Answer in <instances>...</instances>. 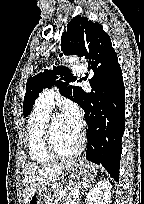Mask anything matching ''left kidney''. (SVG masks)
<instances>
[{
	"label": "left kidney",
	"mask_w": 144,
	"mask_h": 204,
	"mask_svg": "<svg viewBox=\"0 0 144 204\" xmlns=\"http://www.w3.org/2000/svg\"><path fill=\"white\" fill-rule=\"evenodd\" d=\"M111 183L109 180L99 181L88 193L85 199L86 204H110Z\"/></svg>",
	"instance_id": "1"
}]
</instances>
